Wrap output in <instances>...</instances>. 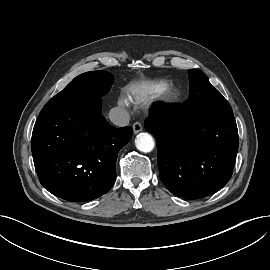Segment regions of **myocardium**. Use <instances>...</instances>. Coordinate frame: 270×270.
Returning <instances> with one entry per match:
<instances>
[{
	"label": "myocardium",
	"instance_id": "obj_1",
	"mask_svg": "<svg viewBox=\"0 0 270 270\" xmlns=\"http://www.w3.org/2000/svg\"><path fill=\"white\" fill-rule=\"evenodd\" d=\"M179 99H180V96H179L177 90H175L173 88L166 90L165 95L163 97V101L165 103H169V104L176 103L179 101Z\"/></svg>",
	"mask_w": 270,
	"mask_h": 270
}]
</instances>
